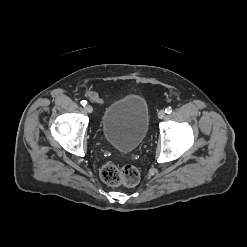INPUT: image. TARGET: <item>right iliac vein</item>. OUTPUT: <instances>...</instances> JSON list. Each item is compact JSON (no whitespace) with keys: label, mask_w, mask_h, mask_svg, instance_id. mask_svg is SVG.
Returning a JSON list of instances; mask_svg holds the SVG:
<instances>
[{"label":"right iliac vein","mask_w":247,"mask_h":247,"mask_svg":"<svg viewBox=\"0 0 247 247\" xmlns=\"http://www.w3.org/2000/svg\"><path fill=\"white\" fill-rule=\"evenodd\" d=\"M85 110H86L88 113H92V112H93V108H92L91 105H87V106L85 107Z\"/></svg>","instance_id":"obj_1"}]
</instances>
